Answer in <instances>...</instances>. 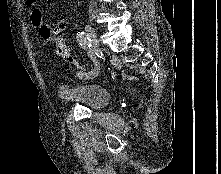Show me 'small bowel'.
<instances>
[{"label": "small bowel", "instance_id": "obj_1", "mask_svg": "<svg viewBox=\"0 0 221 174\" xmlns=\"http://www.w3.org/2000/svg\"><path fill=\"white\" fill-rule=\"evenodd\" d=\"M29 6V15L32 25L37 29L44 25L42 12L39 7V0H25ZM68 25V21L66 18H61L56 24L55 28L62 32Z\"/></svg>", "mask_w": 221, "mask_h": 174}]
</instances>
